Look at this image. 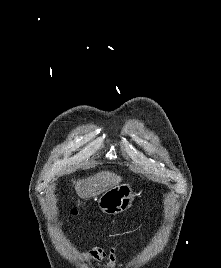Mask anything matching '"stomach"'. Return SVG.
<instances>
[{
	"mask_svg": "<svg viewBox=\"0 0 221 268\" xmlns=\"http://www.w3.org/2000/svg\"><path fill=\"white\" fill-rule=\"evenodd\" d=\"M135 196L130 184L116 185L100 196L98 207L106 214H118L132 206Z\"/></svg>",
	"mask_w": 221,
	"mask_h": 268,
	"instance_id": "obj_1",
	"label": "stomach"
}]
</instances>
